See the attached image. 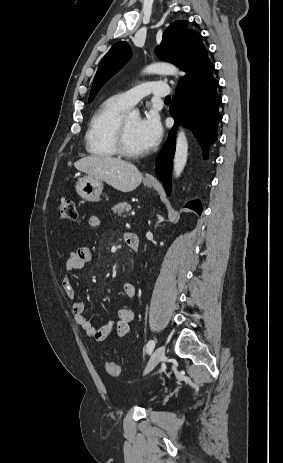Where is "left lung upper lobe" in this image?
I'll return each mask as SVG.
<instances>
[{"instance_id": "1", "label": "left lung upper lobe", "mask_w": 283, "mask_h": 463, "mask_svg": "<svg viewBox=\"0 0 283 463\" xmlns=\"http://www.w3.org/2000/svg\"><path fill=\"white\" fill-rule=\"evenodd\" d=\"M188 21H175L164 31L161 44L155 53L161 60L178 66L186 76L197 65L209 60L202 42V35L187 29ZM131 49L126 42H117L103 57L91 88L92 101L103 84L130 58ZM184 76V77H186ZM183 77V78H184Z\"/></svg>"}]
</instances>
